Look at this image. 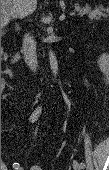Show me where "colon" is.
<instances>
[{
	"instance_id": "colon-1",
	"label": "colon",
	"mask_w": 109,
	"mask_h": 170,
	"mask_svg": "<svg viewBox=\"0 0 109 170\" xmlns=\"http://www.w3.org/2000/svg\"><path fill=\"white\" fill-rule=\"evenodd\" d=\"M29 170H44V169L40 165H33V166L30 167Z\"/></svg>"
}]
</instances>
